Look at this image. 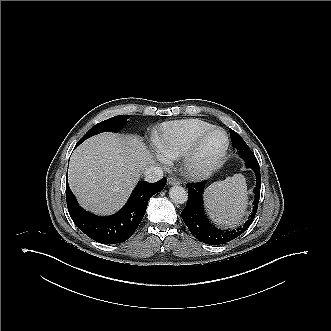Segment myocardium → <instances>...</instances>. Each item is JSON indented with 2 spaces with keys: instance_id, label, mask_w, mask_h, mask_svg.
Here are the masks:
<instances>
[{
  "instance_id": "f54148a6",
  "label": "myocardium",
  "mask_w": 331,
  "mask_h": 331,
  "mask_svg": "<svg viewBox=\"0 0 331 331\" xmlns=\"http://www.w3.org/2000/svg\"><path fill=\"white\" fill-rule=\"evenodd\" d=\"M214 132H221L224 135V146L216 158L210 161H203L200 158V150L204 141ZM229 148V136L220 127H212L198 135L182 155V167L187 175L193 178L207 176L217 170L224 162Z\"/></svg>"
}]
</instances>
